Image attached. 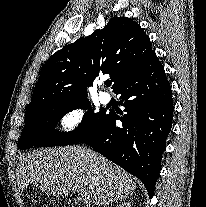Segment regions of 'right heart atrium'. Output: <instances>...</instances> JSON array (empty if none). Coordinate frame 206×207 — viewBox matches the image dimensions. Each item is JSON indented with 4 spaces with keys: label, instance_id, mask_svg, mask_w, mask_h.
Returning <instances> with one entry per match:
<instances>
[{
    "label": "right heart atrium",
    "instance_id": "1",
    "mask_svg": "<svg viewBox=\"0 0 206 207\" xmlns=\"http://www.w3.org/2000/svg\"><path fill=\"white\" fill-rule=\"evenodd\" d=\"M86 120V111L76 105L68 108L59 118V127L65 133H74L78 131Z\"/></svg>",
    "mask_w": 206,
    "mask_h": 207
}]
</instances>
